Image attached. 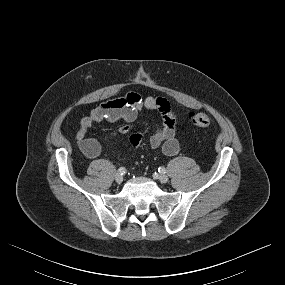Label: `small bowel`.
<instances>
[{"label":"small bowel","mask_w":285,"mask_h":285,"mask_svg":"<svg viewBox=\"0 0 285 285\" xmlns=\"http://www.w3.org/2000/svg\"><path fill=\"white\" fill-rule=\"evenodd\" d=\"M143 109L158 111L162 117L161 123L156 126L150 136L151 148H160L168 156L178 153L180 140L176 132V115L170 103L161 97H142L135 92H128L118 99L103 102L81 119L76 139L84 155L88 158H95L100 153L99 143L94 139L87 138V133L94 123L123 121L124 124L119 125L113 135L116 138L117 134H125L132 130L133 125L137 122L139 112ZM147 132L148 127L140 133L131 135L130 146L136 149Z\"/></svg>","instance_id":"c3829d8e"}]
</instances>
